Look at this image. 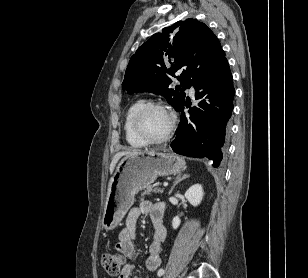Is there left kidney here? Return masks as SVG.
<instances>
[{"instance_id":"1","label":"left kidney","mask_w":308,"mask_h":278,"mask_svg":"<svg viewBox=\"0 0 308 278\" xmlns=\"http://www.w3.org/2000/svg\"><path fill=\"white\" fill-rule=\"evenodd\" d=\"M203 195L204 192L202 186L200 184H195L186 191L185 198L191 205L198 206L203 199ZM180 223V218L178 216H175L172 220L173 229H177Z\"/></svg>"}]
</instances>
